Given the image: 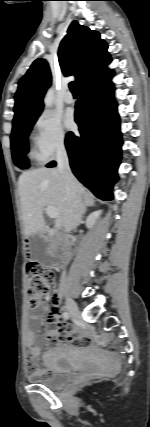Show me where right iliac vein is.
<instances>
[{
	"label": "right iliac vein",
	"mask_w": 150,
	"mask_h": 427,
	"mask_svg": "<svg viewBox=\"0 0 150 427\" xmlns=\"http://www.w3.org/2000/svg\"><path fill=\"white\" fill-rule=\"evenodd\" d=\"M66 307H67L69 314L73 318H77L79 316L78 307H77L76 303L71 298H67Z\"/></svg>",
	"instance_id": "right-iliac-vein-1"
}]
</instances>
